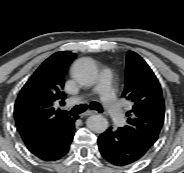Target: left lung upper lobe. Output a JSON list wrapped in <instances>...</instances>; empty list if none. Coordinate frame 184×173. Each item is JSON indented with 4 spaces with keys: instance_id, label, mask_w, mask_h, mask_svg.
I'll return each mask as SVG.
<instances>
[{
    "instance_id": "5c2ea615",
    "label": "left lung upper lobe",
    "mask_w": 184,
    "mask_h": 173,
    "mask_svg": "<svg viewBox=\"0 0 184 173\" xmlns=\"http://www.w3.org/2000/svg\"><path fill=\"white\" fill-rule=\"evenodd\" d=\"M122 96L133 103L132 110L126 113L128 124L122 129L149 149L158 139L164 122L165 106L156 76L147 63L133 51H128L126 58Z\"/></svg>"
}]
</instances>
